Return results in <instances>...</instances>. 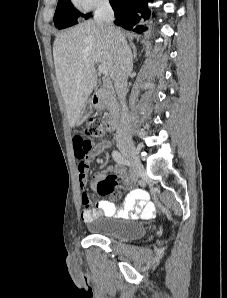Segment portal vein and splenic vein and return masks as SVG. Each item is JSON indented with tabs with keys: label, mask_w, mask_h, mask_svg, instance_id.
Here are the masks:
<instances>
[{
	"label": "portal vein and splenic vein",
	"mask_w": 227,
	"mask_h": 298,
	"mask_svg": "<svg viewBox=\"0 0 227 298\" xmlns=\"http://www.w3.org/2000/svg\"><path fill=\"white\" fill-rule=\"evenodd\" d=\"M98 70L101 74L108 75V69L105 65L103 64L98 65Z\"/></svg>",
	"instance_id": "18ae733b"
}]
</instances>
